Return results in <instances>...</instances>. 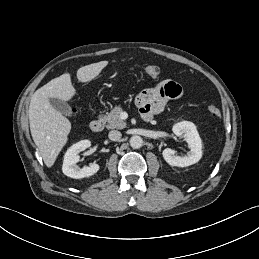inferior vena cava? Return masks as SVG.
<instances>
[{
    "label": "inferior vena cava",
    "mask_w": 259,
    "mask_h": 259,
    "mask_svg": "<svg viewBox=\"0 0 259 259\" xmlns=\"http://www.w3.org/2000/svg\"><path fill=\"white\" fill-rule=\"evenodd\" d=\"M122 134L120 131L112 130L109 132L108 137L112 141H117L121 138Z\"/></svg>",
    "instance_id": "602c4592"
}]
</instances>
